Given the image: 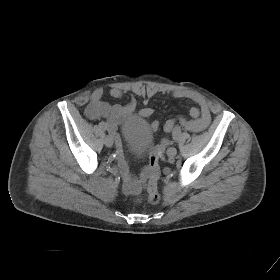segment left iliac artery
Instances as JSON below:
<instances>
[{
  "label": "left iliac artery",
  "instance_id": "1",
  "mask_svg": "<svg viewBox=\"0 0 280 280\" xmlns=\"http://www.w3.org/2000/svg\"><path fill=\"white\" fill-rule=\"evenodd\" d=\"M181 132H182V128L180 125H174L172 127V138L175 142L178 141V139L181 135Z\"/></svg>",
  "mask_w": 280,
  "mask_h": 280
}]
</instances>
